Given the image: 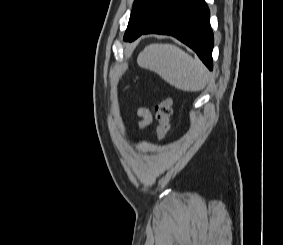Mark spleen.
<instances>
[{"instance_id":"spleen-1","label":"spleen","mask_w":283,"mask_h":245,"mask_svg":"<svg viewBox=\"0 0 283 245\" xmlns=\"http://www.w3.org/2000/svg\"><path fill=\"white\" fill-rule=\"evenodd\" d=\"M137 63L183 91H200L208 83L203 63L176 45L150 44L138 55Z\"/></svg>"}]
</instances>
